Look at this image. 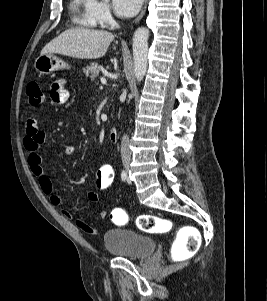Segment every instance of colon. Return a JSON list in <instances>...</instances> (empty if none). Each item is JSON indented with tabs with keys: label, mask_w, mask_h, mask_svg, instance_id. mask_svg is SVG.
Listing matches in <instances>:
<instances>
[{
	"label": "colon",
	"mask_w": 267,
	"mask_h": 301,
	"mask_svg": "<svg viewBox=\"0 0 267 301\" xmlns=\"http://www.w3.org/2000/svg\"><path fill=\"white\" fill-rule=\"evenodd\" d=\"M29 102L33 106L40 105L44 100V94L36 82H30L26 89ZM114 182V170L111 164H102L95 175V191L99 194L111 190ZM111 220L116 224H125L128 221V213L123 208H115L110 213ZM137 227L148 233H165L171 229V222L149 214L139 215L136 219ZM200 247V235L193 227L181 228L172 246V257L176 261H182L192 257Z\"/></svg>",
	"instance_id": "5ec220e1"
}]
</instances>
